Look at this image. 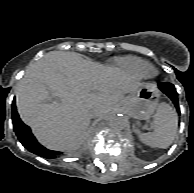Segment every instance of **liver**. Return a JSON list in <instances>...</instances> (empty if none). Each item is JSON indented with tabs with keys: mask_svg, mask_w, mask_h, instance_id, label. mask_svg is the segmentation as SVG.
Returning <instances> with one entry per match:
<instances>
[{
	"mask_svg": "<svg viewBox=\"0 0 194 193\" xmlns=\"http://www.w3.org/2000/svg\"><path fill=\"white\" fill-rule=\"evenodd\" d=\"M142 85L77 53L51 51L26 69L16 87V105L42 145L70 151L79 146L91 118L121 109L125 95Z\"/></svg>",
	"mask_w": 194,
	"mask_h": 193,
	"instance_id": "liver-1",
	"label": "liver"
}]
</instances>
